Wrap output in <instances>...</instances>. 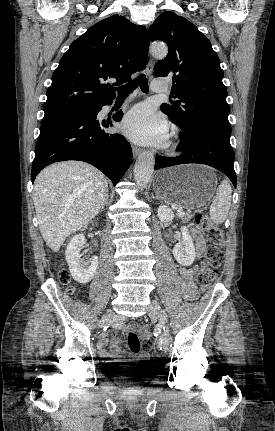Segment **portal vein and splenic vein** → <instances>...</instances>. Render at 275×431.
Wrapping results in <instances>:
<instances>
[{
  "label": "portal vein and splenic vein",
  "mask_w": 275,
  "mask_h": 431,
  "mask_svg": "<svg viewBox=\"0 0 275 431\" xmlns=\"http://www.w3.org/2000/svg\"><path fill=\"white\" fill-rule=\"evenodd\" d=\"M177 215H178V216H183V215H185V212H183V211H181V210H178V211H177Z\"/></svg>",
  "instance_id": "obj_1"
}]
</instances>
